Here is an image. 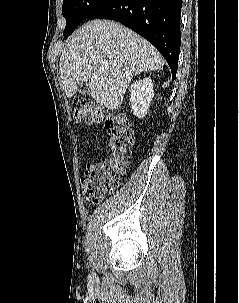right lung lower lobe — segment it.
Masks as SVG:
<instances>
[{
  "mask_svg": "<svg viewBox=\"0 0 239 303\" xmlns=\"http://www.w3.org/2000/svg\"><path fill=\"white\" fill-rule=\"evenodd\" d=\"M182 0H106L86 19H111L131 28L164 56L175 79L180 52Z\"/></svg>",
  "mask_w": 239,
  "mask_h": 303,
  "instance_id": "1",
  "label": "right lung lower lobe"
}]
</instances>
